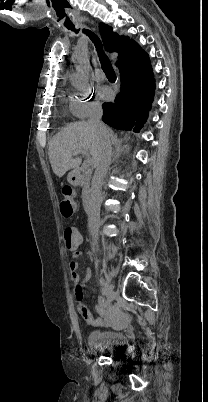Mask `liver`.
I'll return each instance as SVG.
<instances>
[{"label": "liver", "mask_w": 208, "mask_h": 402, "mask_svg": "<svg viewBox=\"0 0 208 402\" xmlns=\"http://www.w3.org/2000/svg\"><path fill=\"white\" fill-rule=\"evenodd\" d=\"M109 134L108 128H106V132H102L100 128L92 126L88 122L69 124L67 128L53 136L49 144L48 156L54 174L58 178H62L67 170L79 168L81 162L72 160V156L86 152V150L87 152L89 150L93 164H96L102 142L109 138Z\"/></svg>", "instance_id": "liver-1"}]
</instances>
